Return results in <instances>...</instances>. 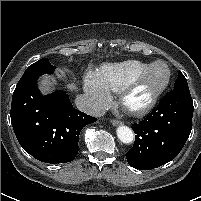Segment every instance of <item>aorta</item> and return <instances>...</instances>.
I'll return each instance as SVG.
<instances>
[{
  "mask_svg": "<svg viewBox=\"0 0 201 201\" xmlns=\"http://www.w3.org/2000/svg\"><path fill=\"white\" fill-rule=\"evenodd\" d=\"M117 136L121 142L129 144L134 140V133L131 128L127 126H119L117 128Z\"/></svg>",
  "mask_w": 201,
  "mask_h": 201,
  "instance_id": "obj_1",
  "label": "aorta"
}]
</instances>
